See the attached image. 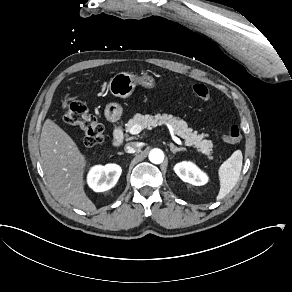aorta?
Segmentation results:
<instances>
[{
    "mask_svg": "<svg viewBox=\"0 0 292 292\" xmlns=\"http://www.w3.org/2000/svg\"><path fill=\"white\" fill-rule=\"evenodd\" d=\"M149 160L154 164H160L164 160V154L160 149H153L149 153Z\"/></svg>",
    "mask_w": 292,
    "mask_h": 292,
    "instance_id": "obj_1",
    "label": "aorta"
}]
</instances>
